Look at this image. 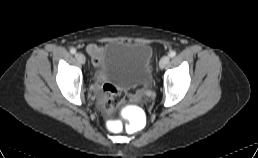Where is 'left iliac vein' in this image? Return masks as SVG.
<instances>
[{"instance_id":"4c4485c4","label":"left iliac vein","mask_w":258,"mask_h":158,"mask_svg":"<svg viewBox=\"0 0 258 158\" xmlns=\"http://www.w3.org/2000/svg\"><path fill=\"white\" fill-rule=\"evenodd\" d=\"M170 61V57L168 55H164L161 60H160V63H159V66L161 69H163L164 67L167 66V64L169 63Z\"/></svg>"}]
</instances>
